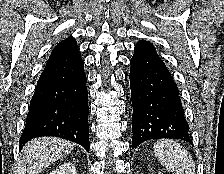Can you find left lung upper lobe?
I'll return each instance as SVG.
<instances>
[{"mask_svg":"<svg viewBox=\"0 0 224 174\" xmlns=\"http://www.w3.org/2000/svg\"><path fill=\"white\" fill-rule=\"evenodd\" d=\"M139 43H148V42H146V41H140Z\"/></svg>","mask_w":224,"mask_h":174,"instance_id":"5c2ea615","label":"left lung upper lobe"}]
</instances>
